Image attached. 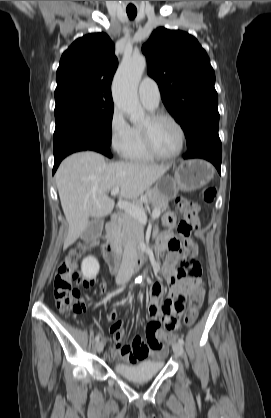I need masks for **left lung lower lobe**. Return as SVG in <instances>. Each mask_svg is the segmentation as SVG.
Returning a JSON list of instances; mask_svg holds the SVG:
<instances>
[{"label":"left lung lower lobe","mask_w":271,"mask_h":418,"mask_svg":"<svg viewBox=\"0 0 271 418\" xmlns=\"http://www.w3.org/2000/svg\"><path fill=\"white\" fill-rule=\"evenodd\" d=\"M203 158L210 161L220 173L222 161V147L218 135L204 137L196 141L188 152L184 155V159Z\"/></svg>","instance_id":"0a47b994"}]
</instances>
